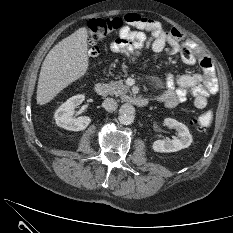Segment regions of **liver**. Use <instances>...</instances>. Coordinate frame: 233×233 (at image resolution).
<instances>
[{"label": "liver", "instance_id": "obj_1", "mask_svg": "<svg viewBox=\"0 0 233 233\" xmlns=\"http://www.w3.org/2000/svg\"><path fill=\"white\" fill-rule=\"evenodd\" d=\"M88 33L79 28L47 54L39 75L37 103L45 105L72 82L85 75L89 66Z\"/></svg>", "mask_w": 233, "mask_h": 233}]
</instances>
